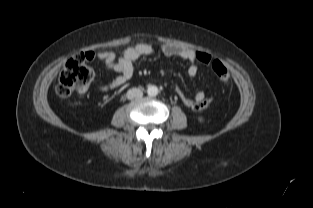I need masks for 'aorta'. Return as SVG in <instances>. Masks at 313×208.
Here are the masks:
<instances>
[{
	"mask_svg": "<svg viewBox=\"0 0 313 208\" xmlns=\"http://www.w3.org/2000/svg\"><path fill=\"white\" fill-rule=\"evenodd\" d=\"M159 90L157 88V86L155 85H150L147 88V93L149 96H156L158 94Z\"/></svg>",
	"mask_w": 313,
	"mask_h": 208,
	"instance_id": "762f6f07",
	"label": "aorta"
}]
</instances>
